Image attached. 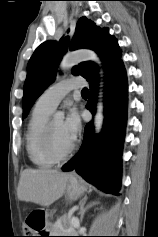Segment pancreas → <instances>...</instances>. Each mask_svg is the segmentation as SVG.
Masks as SVG:
<instances>
[{
  "mask_svg": "<svg viewBox=\"0 0 158 237\" xmlns=\"http://www.w3.org/2000/svg\"><path fill=\"white\" fill-rule=\"evenodd\" d=\"M70 218L62 216L54 224H48L47 229L51 236H65L74 235L76 233L75 227L68 225Z\"/></svg>",
  "mask_w": 158,
  "mask_h": 237,
  "instance_id": "obj_1",
  "label": "pancreas"
}]
</instances>
